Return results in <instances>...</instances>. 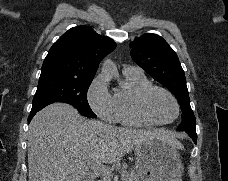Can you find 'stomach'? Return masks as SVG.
<instances>
[{
    "label": "stomach",
    "mask_w": 228,
    "mask_h": 181,
    "mask_svg": "<svg viewBox=\"0 0 228 181\" xmlns=\"http://www.w3.org/2000/svg\"><path fill=\"white\" fill-rule=\"evenodd\" d=\"M135 169L141 181H182L179 151L163 137H149L135 147Z\"/></svg>",
    "instance_id": "1"
}]
</instances>
